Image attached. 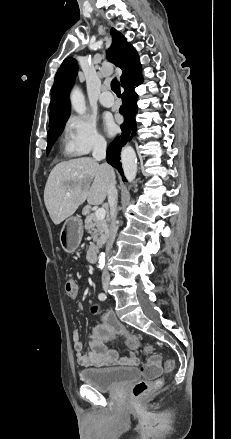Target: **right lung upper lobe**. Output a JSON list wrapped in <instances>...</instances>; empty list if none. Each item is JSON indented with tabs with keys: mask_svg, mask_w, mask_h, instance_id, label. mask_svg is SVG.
Returning <instances> with one entry per match:
<instances>
[{
	"mask_svg": "<svg viewBox=\"0 0 231 439\" xmlns=\"http://www.w3.org/2000/svg\"><path fill=\"white\" fill-rule=\"evenodd\" d=\"M113 43L108 50L107 57L110 62L123 71L120 77L122 87L139 79L141 64L136 50L126 38L114 28L111 29ZM78 71L77 62L66 58L58 69L52 87L50 102L49 127L56 126L67 120L70 115L69 93Z\"/></svg>",
	"mask_w": 231,
	"mask_h": 439,
	"instance_id": "cb5924a9",
	"label": "right lung upper lobe"
}]
</instances>
